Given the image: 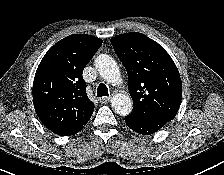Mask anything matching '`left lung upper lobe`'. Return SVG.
<instances>
[{
  "instance_id": "obj_1",
  "label": "left lung upper lobe",
  "mask_w": 224,
  "mask_h": 175,
  "mask_svg": "<svg viewBox=\"0 0 224 175\" xmlns=\"http://www.w3.org/2000/svg\"><path fill=\"white\" fill-rule=\"evenodd\" d=\"M111 44L128 73L134 108L127 117L145 122L171 121L180 107L182 84L170 55L138 32L115 36Z\"/></svg>"
}]
</instances>
